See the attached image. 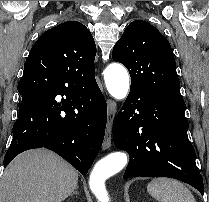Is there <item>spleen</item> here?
Returning <instances> with one entry per match:
<instances>
[{"mask_svg":"<svg viewBox=\"0 0 209 202\" xmlns=\"http://www.w3.org/2000/svg\"><path fill=\"white\" fill-rule=\"evenodd\" d=\"M147 191L159 202H196L191 191L175 179H153L147 185Z\"/></svg>","mask_w":209,"mask_h":202,"instance_id":"3e777b00","label":"spleen"}]
</instances>
